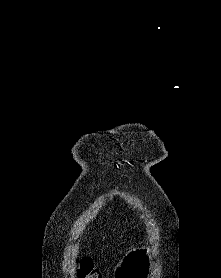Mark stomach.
<instances>
[{
    "mask_svg": "<svg viewBox=\"0 0 221 278\" xmlns=\"http://www.w3.org/2000/svg\"><path fill=\"white\" fill-rule=\"evenodd\" d=\"M133 254H128L127 261H123V264H119V270H117V278H146V275H150V264L152 257L150 251L146 247L136 248L131 251Z\"/></svg>",
    "mask_w": 221,
    "mask_h": 278,
    "instance_id": "1",
    "label": "stomach"
}]
</instances>
